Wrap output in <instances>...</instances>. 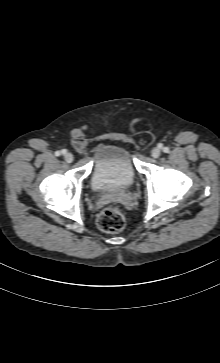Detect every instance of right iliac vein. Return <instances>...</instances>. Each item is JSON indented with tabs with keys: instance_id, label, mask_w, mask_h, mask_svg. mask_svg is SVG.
<instances>
[{
	"instance_id": "63e3f726",
	"label": "right iliac vein",
	"mask_w": 220,
	"mask_h": 363,
	"mask_svg": "<svg viewBox=\"0 0 220 363\" xmlns=\"http://www.w3.org/2000/svg\"><path fill=\"white\" fill-rule=\"evenodd\" d=\"M64 159L66 162L70 163L73 161L74 157L71 153L67 152L64 154Z\"/></svg>"
}]
</instances>
